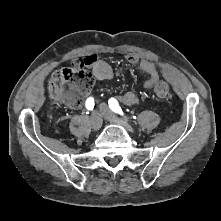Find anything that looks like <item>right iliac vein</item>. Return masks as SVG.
Listing matches in <instances>:
<instances>
[{
    "mask_svg": "<svg viewBox=\"0 0 221 221\" xmlns=\"http://www.w3.org/2000/svg\"><path fill=\"white\" fill-rule=\"evenodd\" d=\"M91 124H92V129L94 131H98L101 126H102V116L99 112H94L92 115V120H91Z\"/></svg>",
    "mask_w": 221,
    "mask_h": 221,
    "instance_id": "63e3f726",
    "label": "right iliac vein"
}]
</instances>
